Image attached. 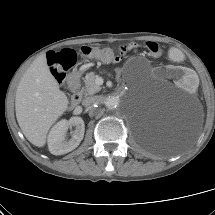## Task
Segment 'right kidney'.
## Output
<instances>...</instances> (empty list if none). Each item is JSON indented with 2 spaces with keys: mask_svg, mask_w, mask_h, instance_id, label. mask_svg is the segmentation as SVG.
<instances>
[{
  "mask_svg": "<svg viewBox=\"0 0 215 215\" xmlns=\"http://www.w3.org/2000/svg\"><path fill=\"white\" fill-rule=\"evenodd\" d=\"M69 126H74L71 138L65 139ZM85 125L81 117H72L70 120H61L56 123L48 135V148L51 154L62 155L74 150L84 137Z\"/></svg>",
  "mask_w": 215,
  "mask_h": 215,
  "instance_id": "ca27d5eb",
  "label": "right kidney"
}]
</instances>
